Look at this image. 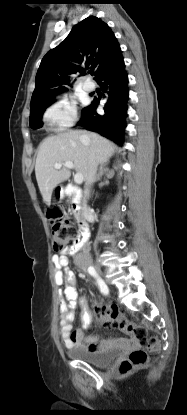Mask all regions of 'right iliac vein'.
<instances>
[{
    "instance_id": "right-iliac-vein-1",
    "label": "right iliac vein",
    "mask_w": 187,
    "mask_h": 415,
    "mask_svg": "<svg viewBox=\"0 0 187 415\" xmlns=\"http://www.w3.org/2000/svg\"><path fill=\"white\" fill-rule=\"evenodd\" d=\"M95 270H96V272H97L98 274L103 275L102 270H101V268H100V267L96 266V267H95Z\"/></svg>"
}]
</instances>
